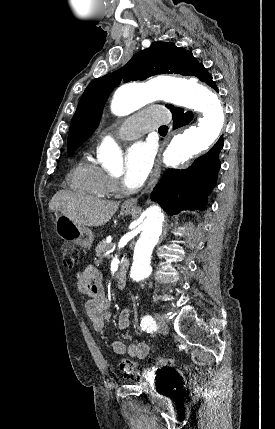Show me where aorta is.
<instances>
[{"label":"aorta","instance_id":"1","mask_svg":"<svg viewBox=\"0 0 275 429\" xmlns=\"http://www.w3.org/2000/svg\"><path fill=\"white\" fill-rule=\"evenodd\" d=\"M155 100H164L202 114L196 126L174 135L163 154L166 166L185 162L206 150L219 136L225 122V108L219 95L197 79L161 77L145 84L123 85L115 92L110 109L116 116H126ZM98 153L110 171L121 169L119 148L109 136L104 138ZM163 222L164 215L158 205L147 209L131 267V275L137 281L151 274V254L161 236Z\"/></svg>","mask_w":275,"mask_h":429}]
</instances>
